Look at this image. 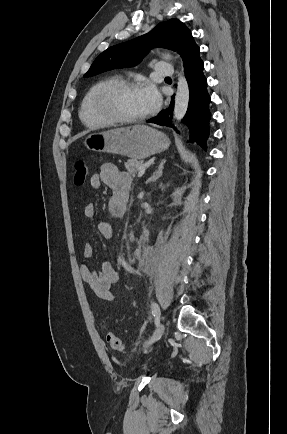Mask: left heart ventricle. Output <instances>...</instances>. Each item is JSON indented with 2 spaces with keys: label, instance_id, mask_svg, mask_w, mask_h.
<instances>
[{
  "label": "left heart ventricle",
  "instance_id": "obj_1",
  "mask_svg": "<svg viewBox=\"0 0 287 434\" xmlns=\"http://www.w3.org/2000/svg\"><path fill=\"white\" fill-rule=\"evenodd\" d=\"M113 110L121 117L132 118L147 113L140 87L116 92L111 100Z\"/></svg>",
  "mask_w": 287,
  "mask_h": 434
}]
</instances>
